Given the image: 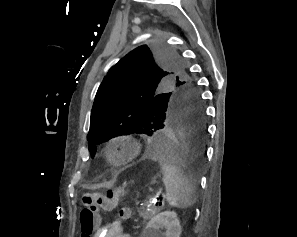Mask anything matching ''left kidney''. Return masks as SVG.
<instances>
[{
	"label": "left kidney",
	"instance_id": "obj_1",
	"mask_svg": "<svg viewBox=\"0 0 297 237\" xmlns=\"http://www.w3.org/2000/svg\"><path fill=\"white\" fill-rule=\"evenodd\" d=\"M166 229L162 232L161 229ZM182 232L176 212L164 211L154 216L143 231V237H180Z\"/></svg>",
	"mask_w": 297,
	"mask_h": 237
}]
</instances>
